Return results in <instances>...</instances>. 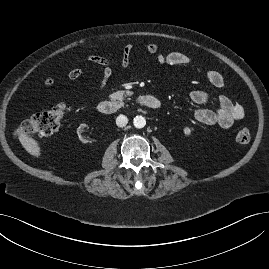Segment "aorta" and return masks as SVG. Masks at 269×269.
Returning a JSON list of instances; mask_svg holds the SVG:
<instances>
[{"label": "aorta", "mask_w": 269, "mask_h": 269, "mask_svg": "<svg viewBox=\"0 0 269 269\" xmlns=\"http://www.w3.org/2000/svg\"><path fill=\"white\" fill-rule=\"evenodd\" d=\"M133 124L136 128L140 129L143 128L146 125V120L143 116H136L133 119Z\"/></svg>", "instance_id": "1"}]
</instances>
